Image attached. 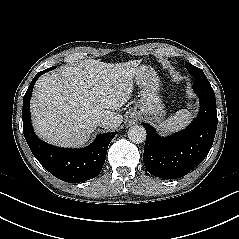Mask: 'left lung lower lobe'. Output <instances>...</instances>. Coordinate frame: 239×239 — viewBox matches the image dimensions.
<instances>
[{
	"instance_id": "1",
	"label": "left lung lower lobe",
	"mask_w": 239,
	"mask_h": 239,
	"mask_svg": "<svg viewBox=\"0 0 239 239\" xmlns=\"http://www.w3.org/2000/svg\"><path fill=\"white\" fill-rule=\"evenodd\" d=\"M200 99L197 118L182 132L163 138L148 124L143 162L147 171L156 177L176 179L187 175L198 166L210 151L216 129L215 93L210 83L192 86Z\"/></svg>"
}]
</instances>
